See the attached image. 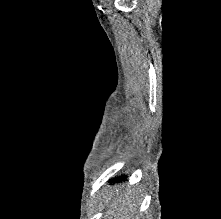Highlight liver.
Returning <instances> with one entry per match:
<instances>
[{"instance_id":"1","label":"liver","mask_w":221,"mask_h":219,"mask_svg":"<svg viewBox=\"0 0 221 219\" xmlns=\"http://www.w3.org/2000/svg\"><path fill=\"white\" fill-rule=\"evenodd\" d=\"M103 203L106 206L104 219H139L140 198L132 189L110 192L104 196Z\"/></svg>"}]
</instances>
